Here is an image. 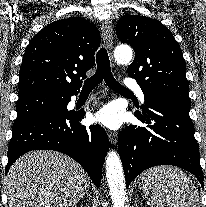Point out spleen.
<instances>
[{
	"label": "spleen",
	"mask_w": 206,
	"mask_h": 207,
	"mask_svg": "<svg viewBox=\"0 0 206 207\" xmlns=\"http://www.w3.org/2000/svg\"><path fill=\"white\" fill-rule=\"evenodd\" d=\"M140 189L151 192L156 204L167 207H200L196 187L185 172L174 166H158L138 178Z\"/></svg>",
	"instance_id": "3e777b00"
}]
</instances>
